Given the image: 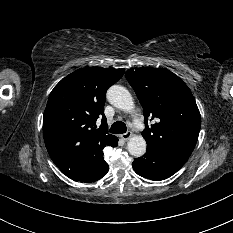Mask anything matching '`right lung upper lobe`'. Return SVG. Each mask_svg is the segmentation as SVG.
I'll list each match as a JSON object with an SVG mask.
<instances>
[{"label":"right lung upper lobe","mask_w":233,"mask_h":233,"mask_svg":"<svg viewBox=\"0 0 233 233\" xmlns=\"http://www.w3.org/2000/svg\"><path fill=\"white\" fill-rule=\"evenodd\" d=\"M124 69L82 68L62 79L50 93L43 116L47 151L57 167L95 163L118 138L107 133L104 104L107 89ZM102 118L104 127L97 128Z\"/></svg>","instance_id":"obj_1"}]
</instances>
